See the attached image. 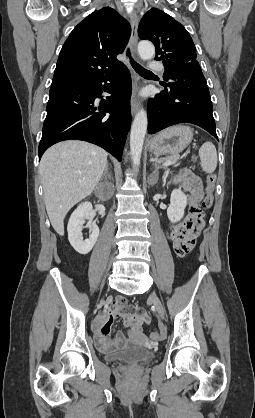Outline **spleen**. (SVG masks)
I'll return each mask as SVG.
<instances>
[{
	"instance_id": "3e777b00",
	"label": "spleen",
	"mask_w": 255,
	"mask_h": 418,
	"mask_svg": "<svg viewBox=\"0 0 255 418\" xmlns=\"http://www.w3.org/2000/svg\"><path fill=\"white\" fill-rule=\"evenodd\" d=\"M199 157L202 170L208 174L213 173L217 167V151L213 143L205 142L199 149Z\"/></svg>"
}]
</instances>
